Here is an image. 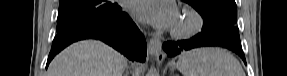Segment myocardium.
I'll list each match as a JSON object with an SVG mask.
<instances>
[{
	"label": "myocardium",
	"instance_id": "obj_1",
	"mask_svg": "<svg viewBox=\"0 0 287 76\" xmlns=\"http://www.w3.org/2000/svg\"><path fill=\"white\" fill-rule=\"evenodd\" d=\"M181 17H186L189 22L186 26H174L171 30V35L177 39H186L197 34L204 25V18L200 12L193 8H183L180 14Z\"/></svg>",
	"mask_w": 287,
	"mask_h": 76
}]
</instances>
